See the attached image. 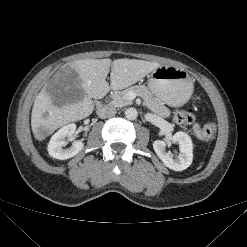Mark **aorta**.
I'll list each match as a JSON object with an SVG mask.
<instances>
[{
    "label": "aorta",
    "mask_w": 247,
    "mask_h": 247,
    "mask_svg": "<svg viewBox=\"0 0 247 247\" xmlns=\"http://www.w3.org/2000/svg\"><path fill=\"white\" fill-rule=\"evenodd\" d=\"M125 116L127 119L129 120H135L138 116V112L135 108H127L126 111H125Z\"/></svg>",
    "instance_id": "1"
}]
</instances>
